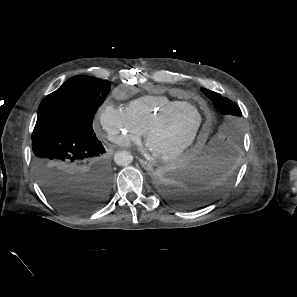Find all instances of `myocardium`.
<instances>
[{
    "label": "myocardium",
    "instance_id": "1",
    "mask_svg": "<svg viewBox=\"0 0 297 297\" xmlns=\"http://www.w3.org/2000/svg\"><path fill=\"white\" fill-rule=\"evenodd\" d=\"M186 108H191L195 111H197V113L199 114V123L197 125V128L195 130V132L193 133V135L187 140L185 141L180 147H178L175 150L166 152V153H162V154H156V156L158 157L159 160L167 162V161H171L174 160L178 157H180L181 155H183L191 146H193L200 135L203 123H204V114L203 112L198 109L196 106L186 103L184 105H181L179 107L176 108H172V109H167L165 111H163L162 113L158 114L145 128L144 130V138L145 141L148 142L149 136L150 134L157 128H159L161 125H163V123L165 121H167L169 118L179 114L181 111H183Z\"/></svg>",
    "mask_w": 297,
    "mask_h": 297
}]
</instances>
